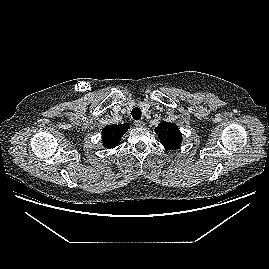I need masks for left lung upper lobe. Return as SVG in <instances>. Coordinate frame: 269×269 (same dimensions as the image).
<instances>
[{
  "label": "left lung upper lobe",
  "instance_id": "left-lung-upper-lobe-1",
  "mask_svg": "<svg viewBox=\"0 0 269 269\" xmlns=\"http://www.w3.org/2000/svg\"><path fill=\"white\" fill-rule=\"evenodd\" d=\"M162 145L169 149H176L181 142V132L176 124L163 121L155 128Z\"/></svg>",
  "mask_w": 269,
  "mask_h": 269
}]
</instances>
